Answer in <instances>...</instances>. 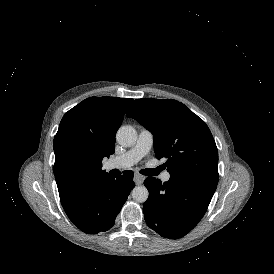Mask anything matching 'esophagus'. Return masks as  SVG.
<instances>
[{"instance_id":"obj_1","label":"esophagus","mask_w":274,"mask_h":274,"mask_svg":"<svg viewBox=\"0 0 274 274\" xmlns=\"http://www.w3.org/2000/svg\"><path fill=\"white\" fill-rule=\"evenodd\" d=\"M145 177L136 173L134 174V178H133V181L135 182L136 185H140L143 183Z\"/></svg>"}]
</instances>
